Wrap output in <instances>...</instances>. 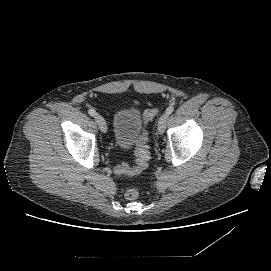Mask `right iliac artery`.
<instances>
[{
    "mask_svg": "<svg viewBox=\"0 0 271 271\" xmlns=\"http://www.w3.org/2000/svg\"><path fill=\"white\" fill-rule=\"evenodd\" d=\"M88 113H89V115H91V116H96V115H97V113H96V111H95L94 109H90V110L88 111Z\"/></svg>",
    "mask_w": 271,
    "mask_h": 271,
    "instance_id": "obj_1",
    "label": "right iliac artery"
}]
</instances>
